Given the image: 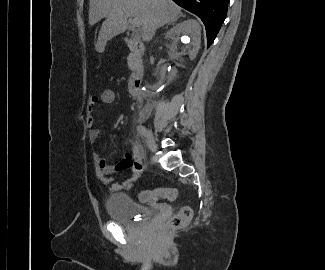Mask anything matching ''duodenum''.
Listing matches in <instances>:
<instances>
[{"label":"duodenum","mask_w":325,"mask_h":270,"mask_svg":"<svg viewBox=\"0 0 325 270\" xmlns=\"http://www.w3.org/2000/svg\"><path fill=\"white\" fill-rule=\"evenodd\" d=\"M129 49H130V63L133 66V71L130 76V90L134 96L140 98L143 78H144L141 61L145 52V47L142 42L134 39H130Z\"/></svg>","instance_id":"1"}]
</instances>
